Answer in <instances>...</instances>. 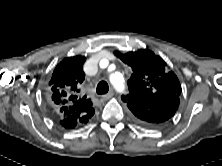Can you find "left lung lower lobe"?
<instances>
[{"mask_svg": "<svg viewBox=\"0 0 222 166\" xmlns=\"http://www.w3.org/2000/svg\"><path fill=\"white\" fill-rule=\"evenodd\" d=\"M179 103L180 99L177 95L159 96L154 101L131 96L127 106L133 113L136 123L146 127H155L169 120L176 112Z\"/></svg>", "mask_w": 222, "mask_h": 166, "instance_id": "obj_1", "label": "left lung lower lobe"}]
</instances>
